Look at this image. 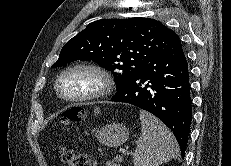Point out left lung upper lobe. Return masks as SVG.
<instances>
[{
	"mask_svg": "<svg viewBox=\"0 0 231 166\" xmlns=\"http://www.w3.org/2000/svg\"><path fill=\"white\" fill-rule=\"evenodd\" d=\"M174 35L161 22L149 18L94 21L63 46L52 67L92 60L113 73L119 92Z\"/></svg>",
	"mask_w": 231,
	"mask_h": 166,
	"instance_id": "left-lung-upper-lobe-1",
	"label": "left lung upper lobe"
}]
</instances>
